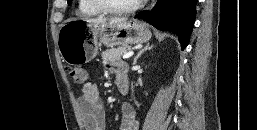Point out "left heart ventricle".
<instances>
[{
  "instance_id": "1",
  "label": "left heart ventricle",
  "mask_w": 257,
  "mask_h": 130,
  "mask_svg": "<svg viewBox=\"0 0 257 130\" xmlns=\"http://www.w3.org/2000/svg\"><path fill=\"white\" fill-rule=\"evenodd\" d=\"M110 6L126 8L135 4L138 0H104Z\"/></svg>"
}]
</instances>
